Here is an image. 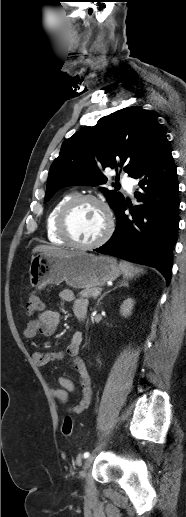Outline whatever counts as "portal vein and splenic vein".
I'll return each mask as SVG.
<instances>
[{
    "mask_svg": "<svg viewBox=\"0 0 186 517\" xmlns=\"http://www.w3.org/2000/svg\"><path fill=\"white\" fill-rule=\"evenodd\" d=\"M98 295H100V291H96V292L94 293V296H95V297H96V296H98Z\"/></svg>",
    "mask_w": 186,
    "mask_h": 517,
    "instance_id": "portal-vein-and-splenic-vein-1",
    "label": "portal vein and splenic vein"
}]
</instances>
